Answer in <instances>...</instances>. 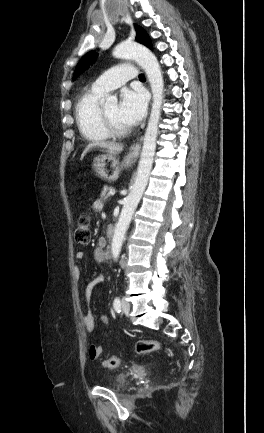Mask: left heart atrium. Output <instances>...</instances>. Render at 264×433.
Segmentation results:
<instances>
[{
	"mask_svg": "<svg viewBox=\"0 0 264 433\" xmlns=\"http://www.w3.org/2000/svg\"><path fill=\"white\" fill-rule=\"evenodd\" d=\"M146 108L147 97L143 91L126 89L121 93L118 115L128 126L138 124L144 117Z\"/></svg>",
	"mask_w": 264,
	"mask_h": 433,
	"instance_id": "left-heart-atrium-1",
	"label": "left heart atrium"
}]
</instances>
